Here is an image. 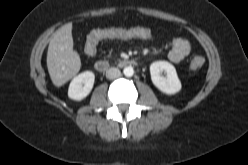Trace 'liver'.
I'll return each instance as SVG.
<instances>
[{"instance_id": "obj_1", "label": "liver", "mask_w": 248, "mask_h": 165, "mask_svg": "<svg viewBox=\"0 0 248 165\" xmlns=\"http://www.w3.org/2000/svg\"><path fill=\"white\" fill-rule=\"evenodd\" d=\"M47 68L56 87L73 78L81 68V60L73 50L72 23L60 27L51 37L47 52Z\"/></svg>"}]
</instances>
